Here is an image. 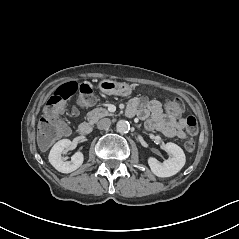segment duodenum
I'll return each mask as SVG.
<instances>
[{
    "instance_id": "410a0bca",
    "label": "duodenum",
    "mask_w": 239,
    "mask_h": 239,
    "mask_svg": "<svg viewBox=\"0 0 239 239\" xmlns=\"http://www.w3.org/2000/svg\"><path fill=\"white\" fill-rule=\"evenodd\" d=\"M92 131V125L89 122H82L78 127V133L82 136L88 135Z\"/></svg>"
}]
</instances>
